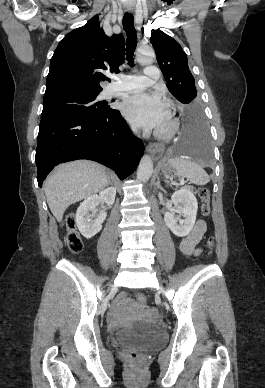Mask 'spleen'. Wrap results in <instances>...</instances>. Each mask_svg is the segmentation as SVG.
Here are the masks:
<instances>
[{
	"mask_svg": "<svg viewBox=\"0 0 265 388\" xmlns=\"http://www.w3.org/2000/svg\"><path fill=\"white\" fill-rule=\"evenodd\" d=\"M167 164L172 166L173 170H176L177 178H187L190 184H196V186H205L208 184L209 178L204 172L203 168L192 162L191 158H182V156H176V158H170ZM167 182V180H165ZM169 184V182H167Z\"/></svg>",
	"mask_w": 265,
	"mask_h": 388,
	"instance_id": "3e777b00",
	"label": "spleen"
}]
</instances>
